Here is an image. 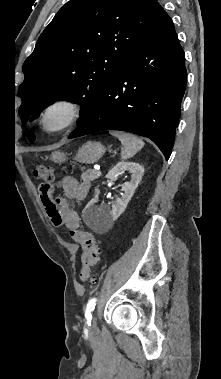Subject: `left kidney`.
Listing matches in <instances>:
<instances>
[{"instance_id": "5707ae66", "label": "left kidney", "mask_w": 221, "mask_h": 379, "mask_svg": "<svg viewBox=\"0 0 221 379\" xmlns=\"http://www.w3.org/2000/svg\"><path fill=\"white\" fill-rule=\"evenodd\" d=\"M131 173V180L122 186L124 192L121 198H117L112 203V209L107 206L101 205L96 207L95 201H90L83 210V219L85 223L93 230H103L109 228L113 222L126 209L130 199L132 198L138 184L140 183L144 168L135 162H119L114 168H112L106 178L115 180L123 172Z\"/></svg>"}]
</instances>
